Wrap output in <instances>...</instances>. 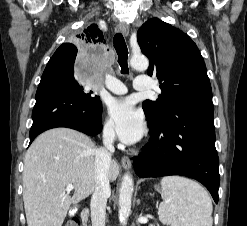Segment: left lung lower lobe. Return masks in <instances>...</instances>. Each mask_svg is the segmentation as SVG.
<instances>
[{
	"instance_id": "obj_1",
	"label": "left lung lower lobe",
	"mask_w": 247,
	"mask_h": 226,
	"mask_svg": "<svg viewBox=\"0 0 247 226\" xmlns=\"http://www.w3.org/2000/svg\"><path fill=\"white\" fill-rule=\"evenodd\" d=\"M149 128L146 150L133 161L136 174L139 177L183 175L196 179L218 203L220 176L212 99L186 102Z\"/></svg>"
}]
</instances>
